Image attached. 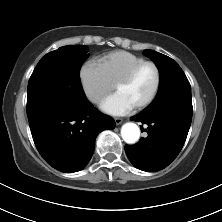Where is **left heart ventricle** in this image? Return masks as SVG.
<instances>
[{"mask_svg":"<svg viewBox=\"0 0 222 222\" xmlns=\"http://www.w3.org/2000/svg\"><path fill=\"white\" fill-rule=\"evenodd\" d=\"M155 83V70L151 66H145L129 84L118 87L116 92L124 95L136 107L151 95Z\"/></svg>","mask_w":222,"mask_h":222,"instance_id":"1","label":"left heart ventricle"}]
</instances>
